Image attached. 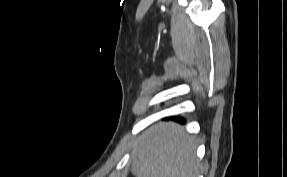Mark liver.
<instances>
[{
	"instance_id": "obj_1",
	"label": "liver",
	"mask_w": 287,
	"mask_h": 177,
	"mask_svg": "<svg viewBox=\"0 0 287 177\" xmlns=\"http://www.w3.org/2000/svg\"><path fill=\"white\" fill-rule=\"evenodd\" d=\"M195 138L173 122H160L143 132L131 157L136 177H198Z\"/></svg>"
}]
</instances>
